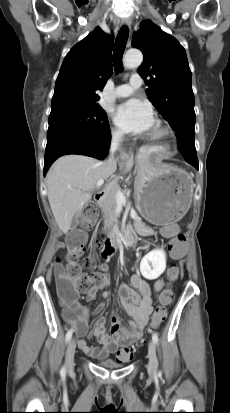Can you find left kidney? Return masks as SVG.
Segmentation results:
<instances>
[{
    "label": "left kidney",
    "mask_w": 230,
    "mask_h": 413,
    "mask_svg": "<svg viewBox=\"0 0 230 413\" xmlns=\"http://www.w3.org/2000/svg\"><path fill=\"white\" fill-rule=\"evenodd\" d=\"M166 269V254L162 249H154L140 262V271L148 280L157 279Z\"/></svg>",
    "instance_id": "5707ae66"
}]
</instances>
